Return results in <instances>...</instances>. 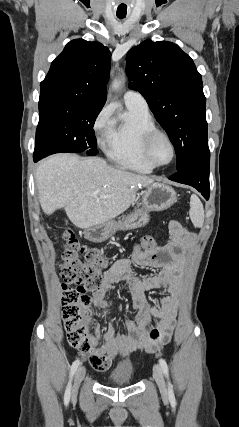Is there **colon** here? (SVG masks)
<instances>
[{
	"label": "colon",
	"mask_w": 239,
	"mask_h": 427,
	"mask_svg": "<svg viewBox=\"0 0 239 427\" xmlns=\"http://www.w3.org/2000/svg\"><path fill=\"white\" fill-rule=\"evenodd\" d=\"M65 241L62 278L63 323L71 346L83 353L91 350L90 329L92 324L91 298L87 292L97 290L102 284V271L108 259L98 250L86 248L70 230L62 233ZM156 239L153 235L141 238L144 250H153ZM75 285V286H73ZM149 337L153 342L160 338L158 330L152 329Z\"/></svg>",
	"instance_id": "1"
}]
</instances>
